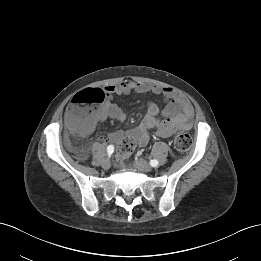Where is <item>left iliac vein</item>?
I'll return each instance as SVG.
<instances>
[{"label":"left iliac vein","instance_id":"4c4485c4","mask_svg":"<svg viewBox=\"0 0 261 261\" xmlns=\"http://www.w3.org/2000/svg\"><path fill=\"white\" fill-rule=\"evenodd\" d=\"M134 166L144 172H151L152 171V167L151 165L143 160V159H137L134 161Z\"/></svg>","mask_w":261,"mask_h":261}]
</instances>
